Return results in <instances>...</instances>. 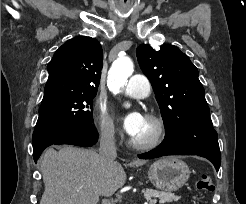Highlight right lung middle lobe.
Masks as SVG:
<instances>
[{
    "mask_svg": "<svg viewBox=\"0 0 246 204\" xmlns=\"http://www.w3.org/2000/svg\"><path fill=\"white\" fill-rule=\"evenodd\" d=\"M96 93H72L42 101L34 133L91 127L93 98Z\"/></svg>",
    "mask_w": 246,
    "mask_h": 204,
    "instance_id": "dd1d6c3e",
    "label": "right lung middle lobe"
}]
</instances>
